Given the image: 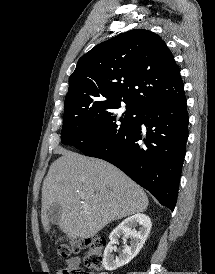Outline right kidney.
Here are the masks:
<instances>
[{
	"mask_svg": "<svg viewBox=\"0 0 215 274\" xmlns=\"http://www.w3.org/2000/svg\"><path fill=\"white\" fill-rule=\"evenodd\" d=\"M137 226H139L138 231H136ZM151 226L150 218L141 213H137L122 221L109 236L110 242L105 248L103 257L104 268L108 271H114L128 264L143 247L150 233ZM121 235L130 239V245L125 244L119 255L114 257L112 252L115 250V244H117Z\"/></svg>",
	"mask_w": 215,
	"mask_h": 274,
	"instance_id": "ca27d5eb",
	"label": "right kidney"
}]
</instances>
